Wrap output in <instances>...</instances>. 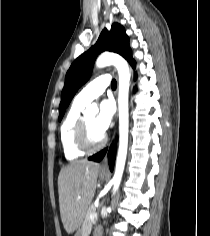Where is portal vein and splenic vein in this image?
Listing matches in <instances>:
<instances>
[{"label": "portal vein and splenic vein", "mask_w": 210, "mask_h": 236, "mask_svg": "<svg viewBox=\"0 0 210 236\" xmlns=\"http://www.w3.org/2000/svg\"><path fill=\"white\" fill-rule=\"evenodd\" d=\"M81 197H78V199H80ZM97 218V214L95 213V214H91L90 215V219L91 220H94V219H96Z\"/></svg>", "instance_id": "1"}]
</instances>
